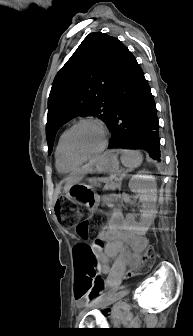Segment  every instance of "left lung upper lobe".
<instances>
[{
  "mask_svg": "<svg viewBox=\"0 0 193 336\" xmlns=\"http://www.w3.org/2000/svg\"><path fill=\"white\" fill-rule=\"evenodd\" d=\"M126 51L115 37L91 33L57 73L48 100L49 154L57 130L75 116H97L107 124Z\"/></svg>",
  "mask_w": 193,
  "mask_h": 336,
  "instance_id": "5c2ea615",
  "label": "left lung upper lobe"
}]
</instances>
